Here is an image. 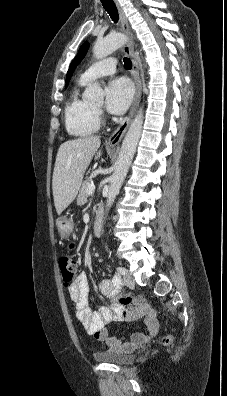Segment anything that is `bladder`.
Here are the masks:
<instances>
[{"mask_svg": "<svg viewBox=\"0 0 227 396\" xmlns=\"http://www.w3.org/2000/svg\"><path fill=\"white\" fill-rule=\"evenodd\" d=\"M93 357L96 361L115 365H128L135 359V355L132 352L123 353L114 351L96 352Z\"/></svg>", "mask_w": 227, "mask_h": 396, "instance_id": "bladder-1", "label": "bladder"}]
</instances>
